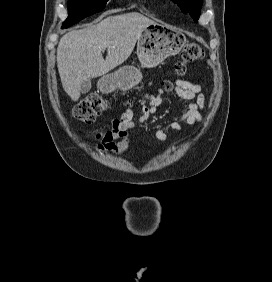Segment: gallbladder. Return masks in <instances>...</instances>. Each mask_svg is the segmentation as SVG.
I'll use <instances>...</instances> for the list:
<instances>
[{"instance_id":"1","label":"gallbladder","mask_w":272,"mask_h":282,"mask_svg":"<svg viewBox=\"0 0 272 282\" xmlns=\"http://www.w3.org/2000/svg\"><path fill=\"white\" fill-rule=\"evenodd\" d=\"M91 89V80H88L86 82H83L81 87H80V92L82 94H86L90 91Z\"/></svg>"}]
</instances>
